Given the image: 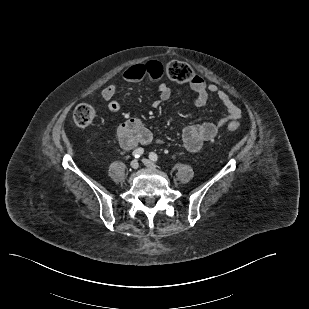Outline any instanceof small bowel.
Segmentation results:
<instances>
[{
	"instance_id": "1",
	"label": "small bowel",
	"mask_w": 309,
	"mask_h": 309,
	"mask_svg": "<svg viewBox=\"0 0 309 309\" xmlns=\"http://www.w3.org/2000/svg\"><path fill=\"white\" fill-rule=\"evenodd\" d=\"M156 64V65H155ZM162 75L161 64L157 61L135 64L122 73V79L126 82H139L144 78L158 81ZM190 88L195 92L194 105L203 107L210 95H216L226 108V116L216 122H203L187 126L182 132L184 146L190 152L199 151L203 144L216 137L219 129L228 122H237L241 117L240 108L234 103L232 98L216 84H207L201 77L196 76L189 83ZM118 86L111 84L106 86L102 92V98L107 102V107L111 112H118L120 103L114 99ZM160 101H166L171 97V88L166 83H159L157 87ZM117 137L120 146L125 150L134 149L139 144H150L153 142V134L138 118H128L122 122L117 129Z\"/></svg>"
}]
</instances>
